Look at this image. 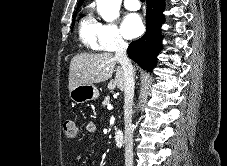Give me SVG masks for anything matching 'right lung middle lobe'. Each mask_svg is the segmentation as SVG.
Masks as SVG:
<instances>
[{
	"instance_id": "right-lung-middle-lobe-1",
	"label": "right lung middle lobe",
	"mask_w": 227,
	"mask_h": 166,
	"mask_svg": "<svg viewBox=\"0 0 227 166\" xmlns=\"http://www.w3.org/2000/svg\"><path fill=\"white\" fill-rule=\"evenodd\" d=\"M80 7H81V5H78L77 9H79ZM75 17H76V15H74V19H75ZM74 19H73V21H74Z\"/></svg>"
}]
</instances>
